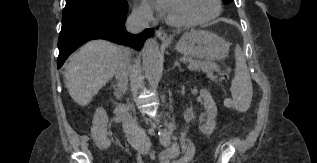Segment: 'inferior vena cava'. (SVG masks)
<instances>
[{"instance_id": "inferior-vena-cava-1", "label": "inferior vena cava", "mask_w": 317, "mask_h": 163, "mask_svg": "<svg viewBox=\"0 0 317 163\" xmlns=\"http://www.w3.org/2000/svg\"><path fill=\"white\" fill-rule=\"evenodd\" d=\"M150 21V13L143 10H134L127 18L126 29L132 34H137L148 28ZM128 48H122L117 59L115 77L118 82L117 95L125 93L128 84V69H129ZM119 117L123 123V130L129 144L142 154H148L151 148V142L145 131L140 128L134 118L128 113L125 107L119 108Z\"/></svg>"}]
</instances>
